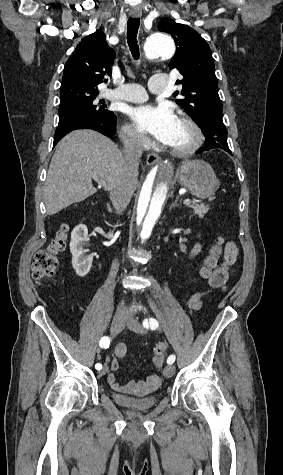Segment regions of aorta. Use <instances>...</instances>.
I'll return each instance as SVG.
<instances>
[{
  "label": "aorta",
  "mask_w": 283,
  "mask_h": 475,
  "mask_svg": "<svg viewBox=\"0 0 283 475\" xmlns=\"http://www.w3.org/2000/svg\"><path fill=\"white\" fill-rule=\"evenodd\" d=\"M148 59L171 58L175 53L173 39L162 33L151 35L144 45ZM173 165L164 161L148 173L141 188L130 226L132 237L145 244L157 226L173 185Z\"/></svg>",
  "instance_id": "762f6f07"
}]
</instances>
